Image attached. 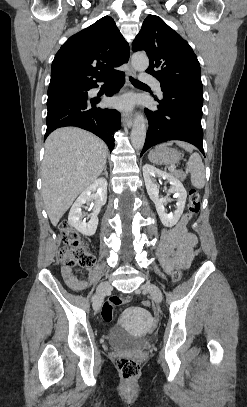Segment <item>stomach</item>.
Wrapping results in <instances>:
<instances>
[{
    "label": "stomach",
    "mask_w": 247,
    "mask_h": 407,
    "mask_svg": "<svg viewBox=\"0 0 247 407\" xmlns=\"http://www.w3.org/2000/svg\"><path fill=\"white\" fill-rule=\"evenodd\" d=\"M182 154L173 148L157 147L150 151L148 157L154 164H176L181 159Z\"/></svg>",
    "instance_id": "1"
}]
</instances>
